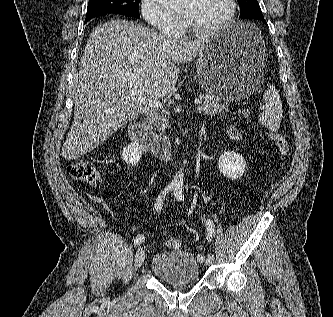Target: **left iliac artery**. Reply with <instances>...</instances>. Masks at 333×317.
Listing matches in <instances>:
<instances>
[{"label":"left iliac artery","mask_w":333,"mask_h":317,"mask_svg":"<svg viewBox=\"0 0 333 317\" xmlns=\"http://www.w3.org/2000/svg\"><path fill=\"white\" fill-rule=\"evenodd\" d=\"M174 195L178 201L184 200L182 185L179 184L175 187ZM205 223H206V228H207V240L211 241L215 235V225H214L213 221H211L210 219H207ZM204 259H205L204 255H202V254L198 255L199 261H204Z\"/></svg>","instance_id":"obj_1"}]
</instances>
